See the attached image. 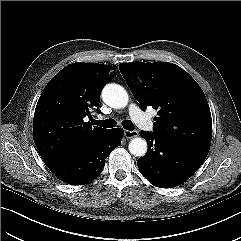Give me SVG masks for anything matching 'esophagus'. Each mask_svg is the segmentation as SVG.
Returning <instances> with one entry per match:
<instances>
[{
	"label": "esophagus",
	"instance_id": "esophagus-1",
	"mask_svg": "<svg viewBox=\"0 0 241 241\" xmlns=\"http://www.w3.org/2000/svg\"><path fill=\"white\" fill-rule=\"evenodd\" d=\"M124 136L126 138H134L138 136V131L133 130V131H129V130H124Z\"/></svg>",
	"mask_w": 241,
	"mask_h": 241
}]
</instances>
